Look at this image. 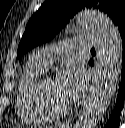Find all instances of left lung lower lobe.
<instances>
[{"label": "left lung lower lobe", "mask_w": 125, "mask_h": 128, "mask_svg": "<svg viewBox=\"0 0 125 128\" xmlns=\"http://www.w3.org/2000/svg\"><path fill=\"white\" fill-rule=\"evenodd\" d=\"M118 32L122 40V74H121V83L119 85L116 105L114 111L111 113L110 119L105 125L104 128H118L120 124V113L124 106L125 98V22L118 26ZM90 65H93V60L89 61Z\"/></svg>", "instance_id": "1"}]
</instances>
